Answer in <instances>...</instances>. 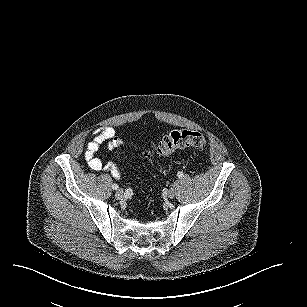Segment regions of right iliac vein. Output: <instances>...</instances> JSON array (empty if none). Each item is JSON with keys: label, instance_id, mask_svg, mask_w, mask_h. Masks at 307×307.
<instances>
[{"label": "right iliac vein", "instance_id": "63e3f726", "mask_svg": "<svg viewBox=\"0 0 307 307\" xmlns=\"http://www.w3.org/2000/svg\"><path fill=\"white\" fill-rule=\"evenodd\" d=\"M115 197H116L117 199H123V198H124V192H123V190H121V189L117 190L116 193H115Z\"/></svg>", "mask_w": 307, "mask_h": 307}]
</instances>
